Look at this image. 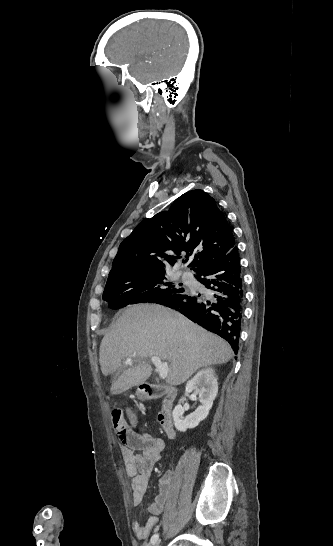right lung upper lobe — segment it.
<instances>
[{"label": "right lung upper lobe", "instance_id": "right-lung-upper-lobe-1", "mask_svg": "<svg viewBox=\"0 0 333 546\" xmlns=\"http://www.w3.org/2000/svg\"><path fill=\"white\" fill-rule=\"evenodd\" d=\"M235 247L232 228L214 198L203 190H191L177 198L168 211L156 214L137 225L119 246L112 263L115 269L161 270L174 265L186 252L195 255L188 265L199 272L222 259Z\"/></svg>", "mask_w": 333, "mask_h": 546}]
</instances>
